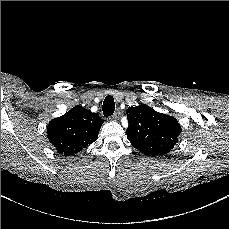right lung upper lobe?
Here are the masks:
<instances>
[{
	"label": "right lung upper lobe",
	"instance_id": "cb5924a9",
	"mask_svg": "<svg viewBox=\"0 0 229 229\" xmlns=\"http://www.w3.org/2000/svg\"><path fill=\"white\" fill-rule=\"evenodd\" d=\"M102 124L99 114L76 106L49 122L47 137L59 153L74 155L97 140Z\"/></svg>",
	"mask_w": 229,
	"mask_h": 229
}]
</instances>
